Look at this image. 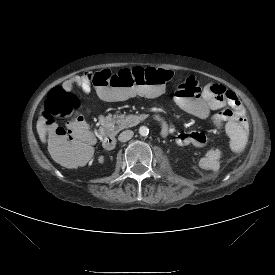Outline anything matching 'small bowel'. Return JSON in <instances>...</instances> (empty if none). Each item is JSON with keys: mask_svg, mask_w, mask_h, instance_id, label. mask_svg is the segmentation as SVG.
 Wrapping results in <instances>:
<instances>
[{"mask_svg": "<svg viewBox=\"0 0 275 275\" xmlns=\"http://www.w3.org/2000/svg\"><path fill=\"white\" fill-rule=\"evenodd\" d=\"M78 86L83 93L91 90L90 80L85 77L74 76L63 83V88L71 89ZM148 97V96H147ZM175 102L187 113L199 119H208L211 124L224 130L229 137V146L233 153L242 152L248 140V120L238 97L226 87L210 82L201 86L197 93L193 84L181 85L175 93ZM79 132L84 128L81 120L72 123ZM174 126L163 121L162 133L164 136L174 132ZM180 143L193 145V148L203 155L199 158V167L211 178L217 177L222 170V148L201 132L191 131L178 136Z\"/></svg>", "mask_w": 275, "mask_h": 275, "instance_id": "small-bowel-1", "label": "small bowel"}]
</instances>
